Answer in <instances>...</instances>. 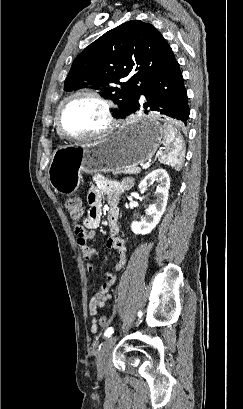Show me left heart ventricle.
<instances>
[{"label":"left heart ventricle","instance_id":"obj_1","mask_svg":"<svg viewBox=\"0 0 243 409\" xmlns=\"http://www.w3.org/2000/svg\"><path fill=\"white\" fill-rule=\"evenodd\" d=\"M61 120L63 130L70 135L93 133L106 124L102 105L87 96L71 99L63 109Z\"/></svg>","mask_w":243,"mask_h":409}]
</instances>
